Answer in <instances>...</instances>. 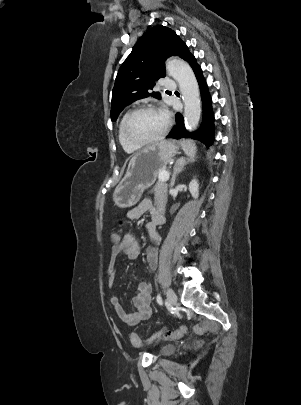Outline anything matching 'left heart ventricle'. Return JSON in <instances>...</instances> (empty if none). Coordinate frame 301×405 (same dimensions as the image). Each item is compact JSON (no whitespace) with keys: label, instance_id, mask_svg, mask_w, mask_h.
I'll return each instance as SVG.
<instances>
[{"label":"left heart ventricle","instance_id":"1","mask_svg":"<svg viewBox=\"0 0 301 405\" xmlns=\"http://www.w3.org/2000/svg\"><path fill=\"white\" fill-rule=\"evenodd\" d=\"M165 125V118L158 111H142L132 117L129 134L136 140H148L157 136Z\"/></svg>","mask_w":301,"mask_h":405}]
</instances>
